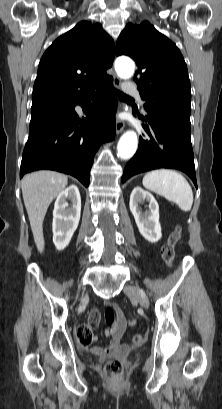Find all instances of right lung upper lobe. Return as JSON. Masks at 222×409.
<instances>
[{
  "label": "right lung upper lobe",
  "instance_id": "obj_1",
  "mask_svg": "<svg viewBox=\"0 0 222 409\" xmlns=\"http://www.w3.org/2000/svg\"><path fill=\"white\" fill-rule=\"evenodd\" d=\"M114 41L98 23L81 21L46 50L33 87L32 108L85 97L111 80L106 70L114 60Z\"/></svg>",
  "mask_w": 222,
  "mask_h": 409
}]
</instances>
